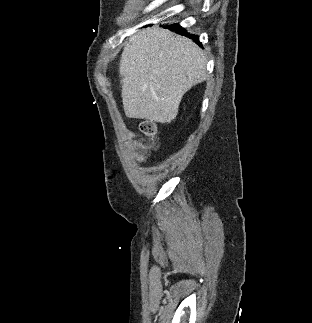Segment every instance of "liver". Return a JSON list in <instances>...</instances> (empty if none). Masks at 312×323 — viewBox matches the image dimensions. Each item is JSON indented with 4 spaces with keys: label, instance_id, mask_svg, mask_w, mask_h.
Returning <instances> with one entry per match:
<instances>
[{
    "label": "liver",
    "instance_id": "6515ba94",
    "mask_svg": "<svg viewBox=\"0 0 312 323\" xmlns=\"http://www.w3.org/2000/svg\"><path fill=\"white\" fill-rule=\"evenodd\" d=\"M206 64L199 46L169 30L130 36L119 64L125 116L171 124L184 94L206 80Z\"/></svg>",
    "mask_w": 312,
    "mask_h": 323
}]
</instances>
